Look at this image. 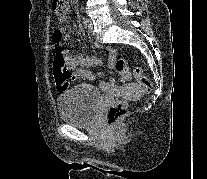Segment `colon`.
I'll list each match as a JSON object with an SVG mask.
<instances>
[{
    "mask_svg": "<svg viewBox=\"0 0 207 179\" xmlns=\"http://www.w3.org/2000/svg\"><path fill=\"white\" fill-rule=\"evenodd\" d=\"M52 8L57 16H63L68 10V4L66 0H52ZM54 44V59L53 66L54 72L57 78L58 85L61 89L69 86L68 76L69 70L66 58L62 50V33L60 30H55L52 35ZM116 70L121 74L124 79H130L131 76H135L140 85V91L148 93L152 89V83L143 74L140 68H135L133 72L129 70L124 59H119L115 64ZM127 114V103L125 101H118L113 104L106 115L107 124L115 126L120 120H122Z\"/></svg>",
    "mask_w": 207,
    "mask_h": 179,
    "instance_id": "colon-1",
    "label": "colon"
}]
</instances>
